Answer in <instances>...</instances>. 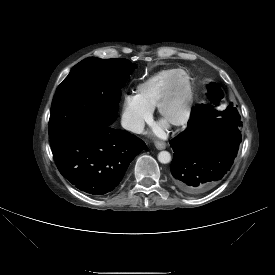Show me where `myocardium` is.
Segmentation results:
<instances>
[{
	"label": "myocardium",
	"instance_id": "1",
	"mask_svg": "<svg viewBox=\"0 0 275 275\" xmlns=\"http://www.w3.org/2000/svg\"><path fill=\"white\" fill-rule=\"evenodd\" d=\"M179 74H182L184 76L185 83H186V94H185V99L183 103V108H182L181 114L177 118L167 119L165 116V108L172 96V93L176 85V78ZM193 98H194V88H193V83H192L190 74L183 68H176L173 71V74L169 83L167 84L165 90L163 91V93L161 94V96L159 97L156 103L155 108H156L158 118L163 123L167 124L169 127L184 126L185 124H187L191 116Z\"/></svg>",
	"mask_w": 275,
	"mask_h": 275
}]
</instances>
